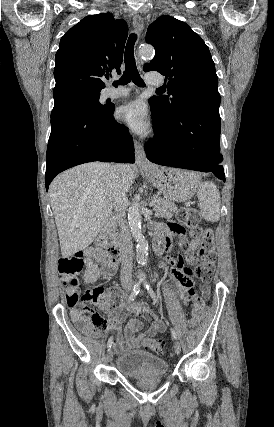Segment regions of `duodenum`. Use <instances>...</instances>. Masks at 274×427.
<instances>
[{
	"label": "duodenum",
	"mask_w": 274,
	"mask_h": 427,
	"mask_svg": "<svg viewBox=\"0 0 274 427\" xmlns=\"http://www.w3.org/2000/svg\"><path fill=\"white\" fill-rule=\"evenodd\" d=\"M156 238H155V251L157 253H162L166 247L169 245V238L166 236V229L164 227H155L154 229ZM101 241L103 244L107 245L109 247V254L111 258L115 262H119L122 257L121 252V245L116 240L113 231H112V225L108 223L101 234Z\"/></svg>",
	"instance_id": "1"
}]
</instances>
